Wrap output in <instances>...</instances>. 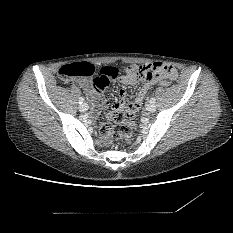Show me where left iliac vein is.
<instances>
[{
  "instance_id": "1",
  "label": "left iliac vein",
  "mask_w": 233,
  "mask_h": 233,
  "mask_svg": "<svg viewBox=\"0 0 233 233\" xmlns=\"http://www.w3.org/2000/svg\"><path fill=\"white\" fill-rule=\"evenodd\" d=\"M146 110L149 112V113H153L155 110H156V107L154 104H148L146 106Z\"/></svg>"
}]
</instances>
